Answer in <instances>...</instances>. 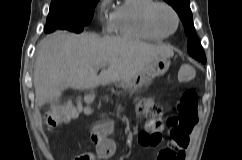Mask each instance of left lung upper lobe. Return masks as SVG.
<instances>
[{"instance_id": "5c2ea615", "label": "left lung upper lobe", "mask_w": 242, "mask_h": 160, "mask_svg": "<svg viewBox=\"0 0 242 160\" xmlns=\"http://www.w3.org/2000/svg\"><path fill=\"white\" fill-rule=\"evenodd\" d=\"M178 13L188 39V53L196 60L206 63L205 53L196 35L189 0H164Z\"/></svg>"}]
</instances>
